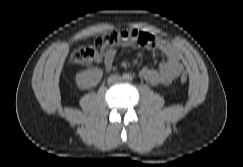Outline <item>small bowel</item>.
I'll return each mask as SVG.
<instances>
[{
  "label": "small bowel",
  "instance_id": "1",
  "mask_svg": "<svg viewBox=\"0 0 243 167\" xmlns=\"http://www.w3.org/2000/svg\"><path fill=\"white\" fill-rule=\"evenodd\" d=\"M127 38L119 45L121 48L140 47L149 51L159 50L166 59L157 69L143 67L140 76L152 85H170L183 72L184 66L179 51L169 41L159 38L149 32L139 29L125 31ZM104 67L110 71L116 57V48L111 47L102 51Z\"/></svg>",
  "mask_w": 243,
  "mask_h": 167
}]
</instances>
